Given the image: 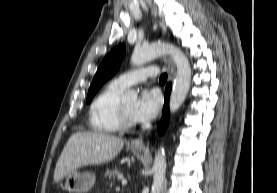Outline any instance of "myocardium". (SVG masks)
<instances>
[{"label": "myocardium", "instance_id": "obj_1", "mask_svg": "<svg viewBox=\"0 0 277 193\" xmlns=\"http://www.w3.org/2000/svg\"><path fill=\"white\" fill-rule=\"evenodd\" d=\"M118 112L122 130H131L136 127L135 121L126 113L121 103L119 104Z\"/></svg>", "mask_w": 277, "mask_h": 193}]
</instances>
